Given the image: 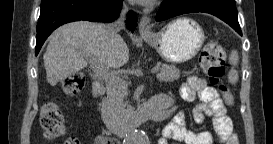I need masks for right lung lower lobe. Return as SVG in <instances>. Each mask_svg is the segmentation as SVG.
<instances>
[{
    "label": "right lung lower lobe",
    "mask_w": 273,
    "mask_h": 144,
    "mask_svg": "<svg viewBox=\"0 0 273 144\" xmlns=\"http://www.w3.org/2000/svg\"><path fill=\"white\" fill-rule=\"evenodd\" d=\"M123 0H42L37 24V55L46 38L60 25L68 22L88 20L93 22H111L117 19ZM137 16L128 13L127 28L134 31Z\"/></svg>",
    "instance_id": "right-lung-lower-lobe-1"
}]
</instances>
